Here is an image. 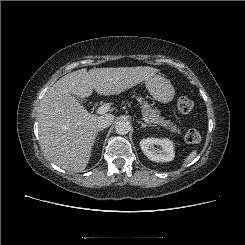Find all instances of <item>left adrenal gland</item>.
Here are the masks:
<instances>
[{"label":"left adrenal gland","instance_id":"1","mask_svg":"<svg viewBox=\"0 0 245 245\" xmlns=\"http://www.w3.org/2000/svg\"><path fill=\"white\" fill-rule=\"evenodd\" d=\"M139 124H141V128H146V127H154L153 125L145 124L142 121H138Z\"/></svg>","mask_w":245,"mask_h":245}]
</instances>
